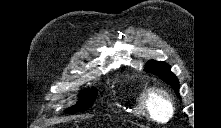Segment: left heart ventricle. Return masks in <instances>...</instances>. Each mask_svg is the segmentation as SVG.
<instances>
[{"mask_svg": "<svg viewBox=\"0 0 221 128\" xmlns=\"http://www.w3.org/2000/svg\"><path fill=\"white\" fill-rule=\"evenodd\" d=\"M154 112L158 119H165L167 117V107L163 103H155L154 104Z\"/></svg>", "mask_w": 221, "mask_h": 128, "instance_id": "b2bd125f", "label": "left heart ventricle"}]
</instances>
